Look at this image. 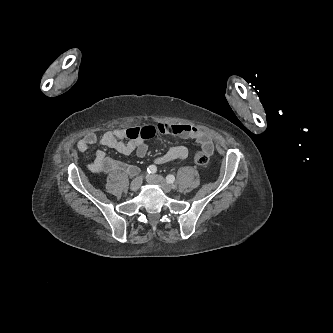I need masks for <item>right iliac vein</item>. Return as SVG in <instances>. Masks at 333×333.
Returning <instances> with one entry per match:
<instances>
[{"label":"right iliac vein","mask_w":333,"mask_h":333,"mask_svg":"<svg viewBox=\"0 0 333 333\" xmlns=\"http://www.w3.org/2000/svg\"><path fill=\"white\" fill-rule=\"evenodd\" d=\"M143 178L141 176H137L133 179V181L130 184V188L132 191H137L140 186L142 185Z\"/></svg>","instance_id":"right-iliac-vein-1"}]
</instances>
